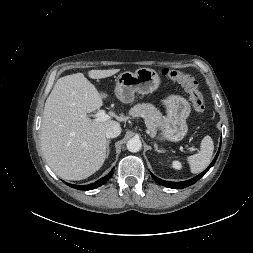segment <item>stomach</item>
Wrapping results in <instances>:
<instances>
[{"label":"stomach","mask_w":253,"mask_h":253,"mask_svg":"<svg viewBox=\"0 0 253 253\" xmlns=\"http://www.w3.org/2000/svg\"><path fill=\"white\" fill-rule=\"evenodd\" d=\"M160 77L156 70L139 68L134 73L125 71L118 76L115 95L123 103L134 101L135 93L146 95L153 93L160 86ZM167 113L161 126L162 138L170 141H180L188 131L186 123L191 113V105L186 98L170 94L162 100Z\"/></svg>","instance_id":"1"}]
</instances>
